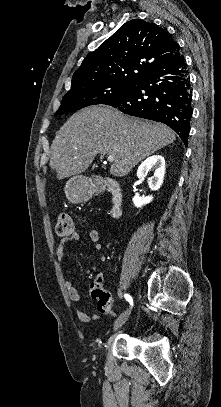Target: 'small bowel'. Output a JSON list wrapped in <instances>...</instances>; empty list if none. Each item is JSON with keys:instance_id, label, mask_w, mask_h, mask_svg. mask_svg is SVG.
<instances>
[{"instance_id": "1", "label": "small bowel", "mask_w": 221, "mask_h": 407, "mask_svg": "<svg viewBox=\"0 0 221 407\" xmlns=\"http://www.w3.org/2000/svg\"><path fill=\"white\" fill-rule=\"evenodd\" d=\"M88 236H89L90 240L96 244V247L98 249H100L101 245H100L99 231L96 229H90L88 232ZM79 240H80V234L78 232H73L70 236L61 238L59 245L55 252L56 258L59 261H62L69 248V245L71 243L77 242ZM105 259H106L105 255L101 254L100 260L105 261ZM104 279H105V273L103 271H97L94 273V275L92 277V282H100L102 284ZM64 286H65L69 299L73 302H79L81 299L80 293L77 290V288L74 286L73 282L70 279L64 277ZM89 295H90L91 299L97 300L96 297H93V295L91 294V291H90ZM76 315H77L78 319L83 323H89L91 321H96L99 318L97 314H88L80 309H78L76 311Z\"/></svg>"}]
</instances>
